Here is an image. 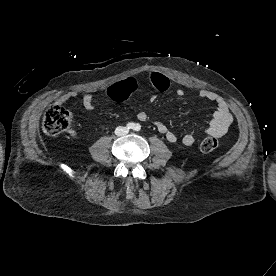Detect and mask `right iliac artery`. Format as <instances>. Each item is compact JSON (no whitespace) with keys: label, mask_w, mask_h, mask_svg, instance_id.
I'll return each mask as SVG.
<instances>
[{"label":"right iliac artery","mask_w":276,"mask_h":276,"mask_svg":"<svg viewBox=\"0 0 276 276\" xmlns=\"http://www.w3.org/2000/svg\"><path fill=\"white\" fill-rule=\"evenodd\" d=\"M126 128H127L128 130H132V129L135 128V124H134V123H128L127 126H126Z\"/></svg>","instance_id":"obj_1"}]
</instances>
